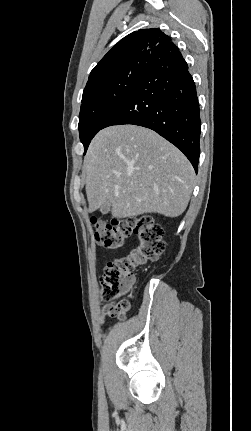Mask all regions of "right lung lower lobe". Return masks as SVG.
Returning <instances> with one entry per match:
<instances>
[{"instance_id": "98d812e1", "label": "right lung lower lobe", "mask_w": 251, "mask_h": 431, "mask_svg": "<svg viewBox=\"0 0 251 431\" xmlns=\"http://www.w3.org/2000/svg\"><path fill=\"white\" fill-rule=\"evenodd\" d=\"M134 124L150 128L179 148L198 171L201 121L195 83L180 51L155 52L132 92L103 128Z\"/></svg>"}]
</instances>
